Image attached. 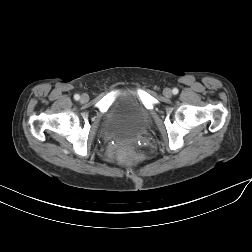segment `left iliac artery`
<instances>
[{
	"mask_svg": "<svg viewBox=\"0 0 252 252\" xmlns=\"http://www.w3.org/2000/svg\"><path fill=\"white\" fill-rule=\"evenodd\" d=\"M172 92H173V94H178V92H179V90L177 89V88H174L173 90H172Z\"/></svg>",
	"mask_w": 252,
	"mask_h": 252,
	"instance_id": "44dca946",
	"label": "left iliac artery"
}]
</instances>
